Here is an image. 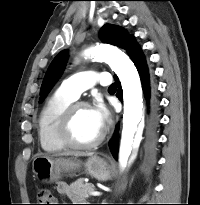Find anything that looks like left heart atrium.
I'll return each instance as SVG.
<instances>
[{"mask_svg":"<svg viewBox=\"0 0 200 205\" xmlns=\"http://www.w3.org/2000/svg\"><path fill=\"white\" fill-rule=\"evenodd\" d=\"M91 112L99 126L104 129L110 120V114L105 105L97 103L93 108H91Z\"/></svg>","mask_w":200,"mask_h":205,"instance_id":"39dd6f15","label":"left heart atrium"}]
</instances>
